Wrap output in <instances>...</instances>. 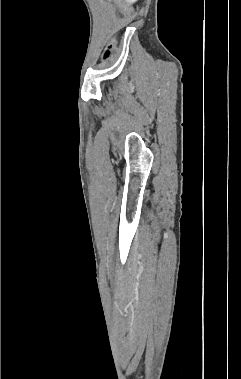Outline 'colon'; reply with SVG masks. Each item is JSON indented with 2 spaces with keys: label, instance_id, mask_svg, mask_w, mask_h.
Returning <instances> with one entry per match:
<instances>
[{
  "label": "colon",
  "instance_id": "obj_1",
  "mask_svg": "<svg viewBox=\"0 0 241 379\" xmlns=\"http://www.w3.org/2000/svg\"><path fill=\"white\" fill-rule=\"evenodd\" d=\"M118 14H123V9H118ZM126 14H131V9H126ZM125 14V15H126ZM115 47H116V41H115V39H112L111 41H110V43H109V45H108V47H107V49H106V51H105V53H104V60H109V59H111L112 57H113V55H114V50H115Z\"/></svg>",
  "mask_w": 241,
  "mask_h": 379
}]
</instances>
